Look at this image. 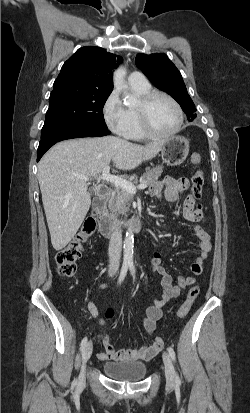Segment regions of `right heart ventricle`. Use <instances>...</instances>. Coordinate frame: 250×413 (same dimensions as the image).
<instances>
[{
  "instance_id": "right-heart-ventricle-1",
  "label": "right heart ventricle",
  "mask_w": 250,
  "mask_h": 413,
  "mask_svg": "<svg viewBox=\"0 0 250 413\" xmlns=\"http://www.w3.org/2000/svg\"><path fill=\"white\" fill-rule=\"evenodd\" d=\"M132 90L140 97L150 91L149 84L144 87L131 86ZM127 125L124 132V137L131 140H141L146 138L140 125V120L137 112V108L129 107L126 109Z\"/></svg>"
}]
</instances>
